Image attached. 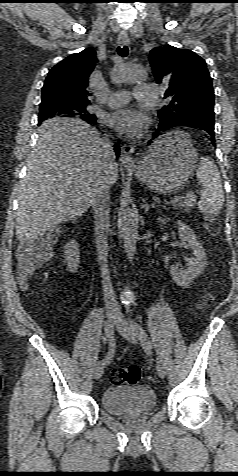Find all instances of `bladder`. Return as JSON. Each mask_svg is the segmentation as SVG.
Here are the masks:
<instances>
[{
  "instance_id": "obj_1",
  "label": "bladder",
  "mask_w": 238,
  "mask_h": 476,
  "mask_svg": "<svg viewBox=\"0 0 238 476\" xmlns=\"http://www.w3.org/2000/svg\"><path fill=\"white\" fill-rule=\"evenodd\" d=\"M156 404V394L147 385H114L106 388L101 395L102 408L117 416L147 413Z\"/></svg>"
}]
</instances>
